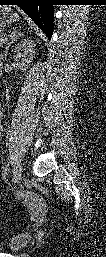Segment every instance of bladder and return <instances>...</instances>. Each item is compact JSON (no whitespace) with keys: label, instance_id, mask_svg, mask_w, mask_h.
Wrapping results in <instances>:
<instances>
[{"label":"bladder","instance_id":"1","mask_svg":"<svg viewBox=\"0 0 106 257\" xmlns=\"http://www.w3.org/2000/svg\"><path fill=\"white\" fill-rule=\"evenodd\" d=\"M31 242V235L28 233H21L13 236L8 241L9 251L16 253L23 250Z\"/></svg>","mask_w":106,"mask_h":257}]
</instances>
